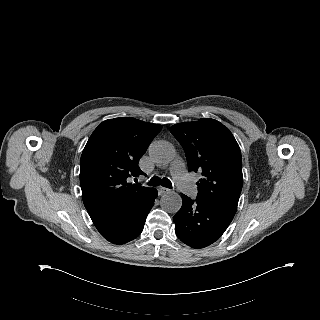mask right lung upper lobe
<instances>
[{"instance_id":"obj_1","label":"right lung upper lobe","mask_w":320,"mask_h":320,"mask_svg":"<svg viewBox=\"0 0 320 320\" xmlns=\"http://www.w3.org/2000/svg\"><path fill=\"white\" fill-rule=\"evenodd\" d=\"M161 125L134 118L102 122L81 156L80 183L92 221L119 213L140 202L153 188L128 183L144 174L138 166Z\"/></svg>"}]
</instances>
